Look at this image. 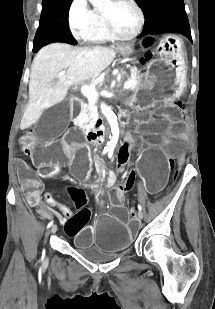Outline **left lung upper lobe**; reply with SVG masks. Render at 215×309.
<instances>
[{
    "label": "left lung upper lobe",
    "instance_id": "5c2ea615",
    "mask_svg": "<svg viewBox=\"0 0 215 309\" xmlns=\"http://www.w3.org/2000/svg\"><path fill=\"white\" fill-rule=\"evenodd\" d=\"M142 7L145 25L139 37L153 33H179L192 42L183 0H136Z\"/></svg>",
    "mask_w": 215,
    "mask_h": 309
}]
</instances>
